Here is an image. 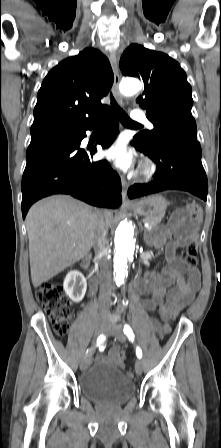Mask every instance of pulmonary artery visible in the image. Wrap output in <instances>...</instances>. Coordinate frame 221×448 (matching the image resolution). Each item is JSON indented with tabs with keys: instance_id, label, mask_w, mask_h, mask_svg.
Returning <instances> with one entry per match:
<instances>
[{
	"instance_id": "pulmonary-artery-1",
	"label": "pulmonary artery",
	"mask_w": 221,
	"mask_h": 448,
	"mask_svg": "<svg viewBox=\"0 0 221 448\" xmlns=\"http://www.w3.org/2000/svg\"><path fill=\"white\" fill-rule=\"evenodd\" d=\"M131 118L135 123L146 122L150 127L152 126L146 118V113L142 110L134 111L131 115Z\"/></svg>"
}]
</instances>
